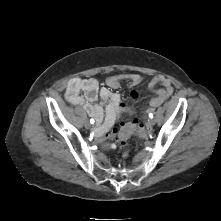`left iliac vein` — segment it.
Wrapping results in <instances>:
<instances>
[{
    "label": "left iliac vein",
    "instance_id": "1",
    "mask_svg": "<svg viewBox=\"0 0 221 221\" xmlns=\"http://www.w3.org/2000/svg\"><path fill=\"white\" fill-rule=\"evenodd\" d=\"M155 124V119L148 120V126H153Z\"/></svg>",
    "mask_w": 221,
    "mask_h": 221
}]
</instances>
